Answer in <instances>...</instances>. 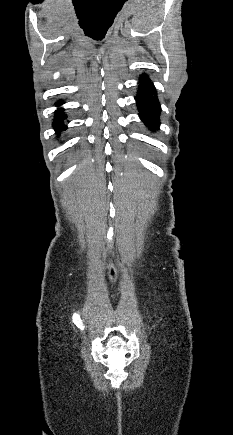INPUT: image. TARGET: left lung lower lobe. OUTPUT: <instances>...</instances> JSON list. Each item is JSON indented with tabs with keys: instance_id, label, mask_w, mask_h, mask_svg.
<instances>
[{
	"instance_id": "obj_1",
	"label": "left lung lower lobe",
	"mask_w": 233,
	"mask_h": 435,
	"mask_svg": "<svg viewBox=\"0 0 233 435\" xmlns=\"http://www.w3.org/2000/svg\"><path fill=\"white\" fill-rule=\"evenodd\" d=\"M138 92L135 97L138 105L140 119L151 130L156 131L160 124V105L157 100V92L149 77L142 74L139 78Z\"/></svg>"
}]
</instances>
